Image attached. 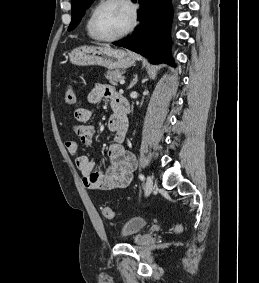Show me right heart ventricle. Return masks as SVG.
I'll return each mask as SVG.
<instances>
[{
    "label": "right heart ventricle",
    "instance_id": "e07e8e85",
    "mask_svg": "<svg viewBox=\"0 0 259 283\" xmlns=\"http://www.w3.org/2000/svg\"><path fill=\"white\" fill-rule=\"evenodd\" d=\"M93 11V10H92ZM92 11L89 13L88 15V18H87V21H86V25H85V30H86V34L89 38H94L91 34V31H90V18H91V14H92Z\"/></svg>",
    "mask_w": 259,
    "mask_h": 283
}]
</instances>
